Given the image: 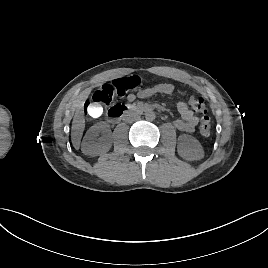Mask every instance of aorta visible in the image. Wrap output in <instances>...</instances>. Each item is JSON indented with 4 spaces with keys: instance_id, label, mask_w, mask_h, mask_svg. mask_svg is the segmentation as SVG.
<instances>
[{
    "instance_id": "1",
    "label": "aorta",
    "mask_w": 268,
    "mask_h": 268,
    "mask_svg": "<svg viewBox=\"0 0 268 268\" xmlns=\"http://www.w3.org/2000/svg\"><path fill=\"white\" fill-rule=\"evenodd\" d=\"M145 118L147 121H153L156 118V115L153 111H148L145 113Z\"/></svg>"
}]
</instances>
